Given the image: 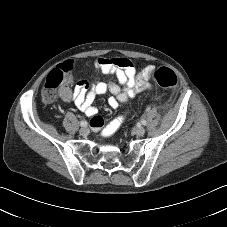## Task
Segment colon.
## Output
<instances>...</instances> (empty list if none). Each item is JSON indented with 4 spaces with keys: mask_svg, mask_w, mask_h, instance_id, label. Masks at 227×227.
Listing matches in <instances>:
<instances>
[{
    "mask_svg": "<svg viewBox=\"0 0 227 227\" xmlns=\"http://www.w3.org/2000/svg\"><path fill=\"white\" fill-rule=\"evenodd\" d=\"M73 73V66L68 63L65 66H58L54 68L46 78V82L42 91V96L45 101H52L56 96V90L62 83H67L71 80ZM153 79L155 83L163 88H173L177 84V75L176 73L167 67L158 68L153 73ZM124 118L117 119L112 128L111 132L106 135H112L115 133L119 127L122 125ZM102 125V120L100 117H94L91 120V126L98 128Z\"/></svg>",
    "mask_w": 227,
    "mask_h": 227,
    "instance_id": "1",
    "label": "colon"
}]
</instances>
